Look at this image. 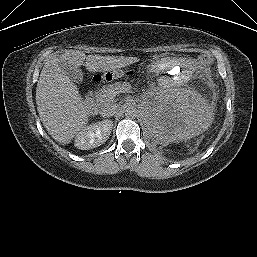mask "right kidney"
<instances>
[{"instance_id":"right-kidney-1","label":"right kidney","mask_w":257,"mask_h":257,"mask_svg":"<svg viewBox=\"0 0 257 257\" xmlns=\"http://www.w3.org/2000/svg\"><path fill=\"white\" fill-rule=\"evenodd\" d=\"M113 122L104 120L84 127L75 138V146L81 150L96 148L107 141Z\"/></svg>"}]
</instances>
